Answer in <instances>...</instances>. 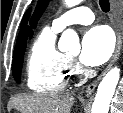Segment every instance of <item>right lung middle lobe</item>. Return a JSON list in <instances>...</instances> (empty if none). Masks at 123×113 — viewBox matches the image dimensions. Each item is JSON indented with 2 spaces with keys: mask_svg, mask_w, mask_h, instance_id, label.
I'll return each mask as SVG.
<instances>
[{
  "mask_svg": "<svg viewBox=\"0 0 123 113\" xmlns=\"http://www.w3.org/2000/svg\"><path fill=\"white\" fill-rule=\"evenodd\" d=\"M25 48L26 45L22 46L18 50H15L13 54L12 74L17 83H20L21 81V69Z\"/></svg>",
  "mask_w": 123,
  "mask_h": 113,
  "instance_id": "obj_1",
  "label": "right lung middle lobe"
}]
</instances>
